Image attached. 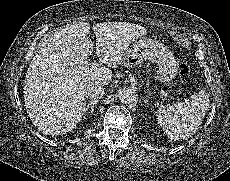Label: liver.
I'll list each match as a JSON object with an SVG mask.
<instances>
[{
    "instance_id": "obj_1",
    "label": "liver",
    "mask_w": 230,
    "mask_h": 181,
    "mask_svg": "<svg viewBox=\"0 0 230 181\" xmlns=\"http://www.w3.org/2000/svg\"><path fill=\"white\" fill-rule=\"evenodd\" d=\"M100 23L93 26L96 55L115 68L121 63L129 42L146 29L138 25ZM90 25L73 24L50 36L33 58L25 79L24 101L28 116L45 134L72 131L85 112V92L95 85H108L109 68L90 67L93 43Z\"/></svg>"
}]
</instances>
